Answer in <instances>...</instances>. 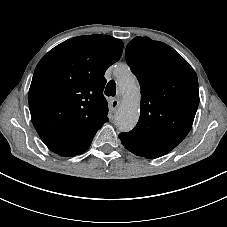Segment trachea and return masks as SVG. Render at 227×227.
<instances>
[{
	"label": "trachea",
	"instance_id": "1",
	"mask_svg": "<svg viewBox=\"0 0 227 227\" xmlns=\"http://www.w3.org/2000/svg\"><path fill=\"white\" fill-rule=\"evenodd\" d=\"M105 95L106 96H115L116 95V83L114 80H110L107 83V86L105 88Z\"/></svg>",
	"mask_w": 227,
	"mask_h": 227
}]
</instances>
